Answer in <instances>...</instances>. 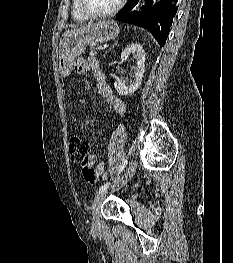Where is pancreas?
I'll return each mask as SVG.
<instances>
[{
    "mask_svg": "<svg viewBox=\"0 0 233 263\" xmlns=\"http://www.w3.org/2000/svg\"><path fill=\"white\" fill-rule=\"evenodd\" d=\"M99 49H101V46H95V47L92 48V51H96V50H99Z\"/></svg>",
    "mask_w": 233,
    "mask_h": 263,
    "instance_id": "pancreas-1",
    "label": "pancreas"
}]
</instances>
